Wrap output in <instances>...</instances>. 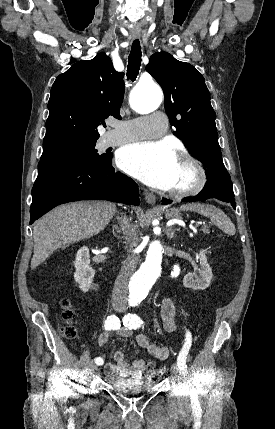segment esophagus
Returning <instances> with one entry per match:
<instances>
[{"mask_svg": "<svg viewBox=\"0 0 275 429\" xmlns=\"http://www.w3.org/2000/svg\"><path fill=\"white\" fill-rule=\"evenodd\" d=\"M139 38V36H132V39H137ZM145 195V200L147 201V203L151 204V205H155L156 202V196L148 191L144 192Z\"/></svg>", "mask_w": 275, "mask_h": 429, "instance_id": "obj_1", "label": "esophagus"}]
</instances>
